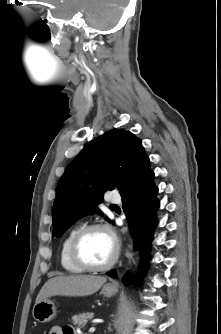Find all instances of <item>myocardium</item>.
<instances>
[{"label": "myocardium", "instance_id": "myocardium-1", "mask_svg": "<svg viewBox=\"0 0 221 334\" xmlns=\"http://www.w3.org/2000/svg\"><path fill=\"white\" fill-rule=\"evenodd\" d=\"M94 230H104L108 232L109 235L112 237L115 245L114 254L112 255L111 259L102 265H92L87 261H85L80 254V244L82 239L85 237L86 234ZM119 252H120V244L115 232L109 225L103 223H92L82 226L81 228L78 229L70 244V257L72 261L77 266L86 271H105L110 269L117 261Z\"/></svg>", "mask_w": 221, "mask_h": 334}]
</instances>
